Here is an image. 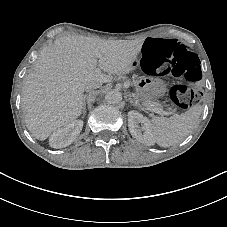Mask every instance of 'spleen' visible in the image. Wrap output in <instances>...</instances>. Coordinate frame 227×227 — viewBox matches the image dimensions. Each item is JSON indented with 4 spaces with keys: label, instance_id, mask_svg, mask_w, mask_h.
<instances>
[{
    "label": "spleen",
    "instance_id": "spleen-1",
    "mask_svg": "<svg viewBox=\"0 0 227 227\" xmlns=\"http://www.w3.org/2000/svg\"><path fill=\"white\" fill-rule=\"evenodd\" d=\"M201 114L199 106H193L181 115L169 118L154 117L150 128L154 141L161 147H170L181 143L194 128Z\"/></svg>",
    "mask_w": 227,
    "mask_h": 227
}]
</instances>
